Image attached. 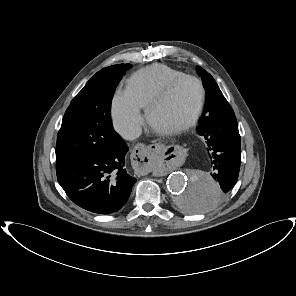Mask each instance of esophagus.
I'll list each match as a JSON object with an SVG mask.
<instances>
[{"label":"esophagus","mask_w":296,"mask_h":296,"mask_svg":"<svg viewBox=\"0 0 296 296\" xmlns=\"http://www.w3.org/2000/svg\"><path fill=\"white\" fill-rule=\"evenodd\" d=\"M132 168L136 175L144 177L151 173L157 160V151L146 142L140 141L131 150Z\"/></svg>","instance_id":"esophagus-1"}]
</instances>
